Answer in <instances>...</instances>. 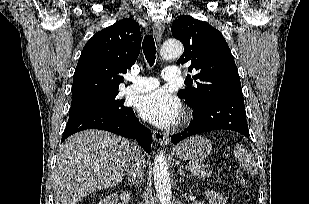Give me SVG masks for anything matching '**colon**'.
<instances>
[{"label": "colon", "mask_w": 309, "mask_h": 204, "mask_svg": "<svg viewBox=\"0 0 309 204\" xmlns=\"http://www.w3.org/2000/svg\"><path fill=\"white\" fill-rule=\"evenodd\" d=\"M238 176H239L240 178H242L240 173H238Z\"/></svg>", "instance_id": "obj_1"}]
</instances>
